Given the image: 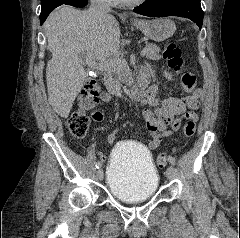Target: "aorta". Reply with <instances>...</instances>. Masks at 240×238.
Returning a JSON list of instances; mask_svg holds the SVG:
<instances>
[{"label": "aorta", "instance_id": "obj_1", "mask_svg": "<svg viewBox=\"0 0 240 238\" xmlns=\"http://www.w3.org/2000/svg\"><path fill=\"white\" fill-rule=\"evenodd\" d=\"M124 92H125L126 94H128V92H127V89H126V88L124 89Z\"/></svg>", "mask_w": 240, "mask_h": 238}]
</instances>
